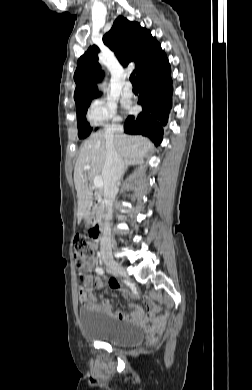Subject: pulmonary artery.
<instances>
[{
  "label": "pulmonary artery",
  "mask_w": 252,
  "mask_h": 390,
  "mask_svg": "<svg viewBox=\"0 0 252 390\" xmlns=\"http://www.w3.org/2000/svg\"><path fill=\"white\" fill-rule=\"evenodd\" d=\"M122 94L125 97H132L133 96V89H132V85L130 82L125 83V85L123 87Z\"/></svg>",
  "instance_id": "e3ab8cb5"
}]
</instances>
